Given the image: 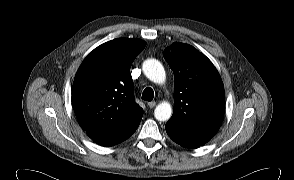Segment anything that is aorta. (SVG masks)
I'll return each instance as SVG.
<instances>
[{
	"label": "aorta",
	"mask_w": 294,
	"mask_h": 180,
	"mask_svg": "<svg viewBox=\"0 0 294 180\" xmlns=\"http://www.w3.org/2000/svg\"><path fill=\"white\" fill-rule=\"evenodd\" d=\"M143 73L154 83L162 84L166 79L163 65L156 59H147L144 61ZM172 115V107L168 102L159 103L155 110L154 116L158 121H167Z\"/></svg>",
	"instance_id": "aorta-1"
}]
</instances>
